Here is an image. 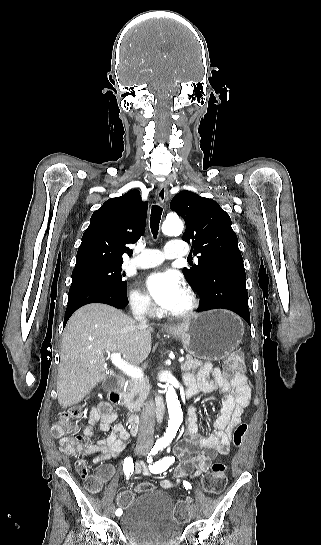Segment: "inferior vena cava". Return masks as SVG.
Listing matches in <instances>:
<instances>
[{"instance_id":"1","label":"inferior vena cava","mask_w":321,"mask_h":545,"mask_svg":"<svg viewBox=\"0 0 321 545\" xmlns=\"http://www.w3.org/2000/svg\"><path fill=\"white\" fill-rule=\"evenodd\" d=\"M147 303L143 301H135L132 305V315L136 321H140L141 325H147V319L144 315L146 313ZM154 425H155V413H154V401H148L143 409L139 423V433L136 447L140 451H148L151 449L154 441Z\"/></svg>"}]
</instances>
